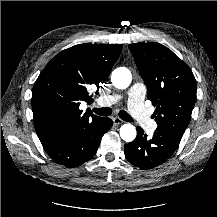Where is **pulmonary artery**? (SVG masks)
I'll return each instance as SVG.
<instances>
[{
	"instance_id": "obj_1",
	"label": "pulmonary artery",
	"mask_w": 217,
	"mask_h": 217,
	"mask_svg": "<svg viewBox=\"0 0 217 217\" xmlns=\"http://www.w3.org/2000/svg\"><path fill=\"white\" fill-rule=\"evenodd\" d=\"M145 86L137 83L131 86L127 93L128 109L131 116L139 122V124L148 130H153L156 123L148 114L147 108L144 105ZM123 98L122 94L107 95L99 99V103L103 106L112 105Z\"/></svg>"
}]
</instances>
